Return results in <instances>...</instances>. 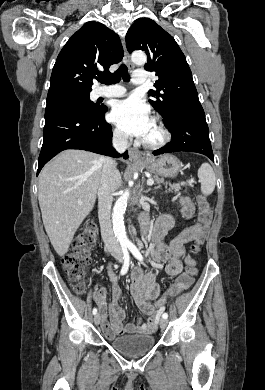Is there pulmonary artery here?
<instances>
[{
	"label": "pulmonary artery",
	"mask_w": 265,
	"mask_h": 390,
	"mask_svg": "<svg viewBox=\"0 0 265 390\" xmlns=\"http://www.w3.org/2000/svg\"><path fill=\"white\" fill-rule=\"evenodd\" d=\"M147 82L146 71L137 70L133 73L132 83L135 85H143ZM98 97H122L126 94V89L122 86H110L100 88L96 92Z\"/></svg>",
	"instance_id": "1"
}]
</instances>
